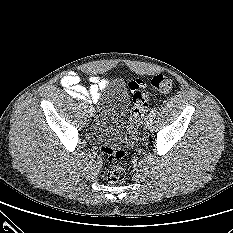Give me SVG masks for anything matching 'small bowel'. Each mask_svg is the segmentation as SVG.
<instances>
[{
    "instance_id": "1",
    "label": "small bowel",
    "mask_w": 233,
    "mask_h": 233,
    "mask_svg": "<svg viewBox=\"0 0 233 233\" xmlns=\"http://www.w3.org/2000/svg\"><path fill=\"white\" fill-rule=\"evenodd\" d=\"M89 86L81 83L80 77L76 72H70L61 79V85L67 93L75 99L97 102L100 99L101 92L108 86L109 79L100 78L97 75L90 76ZM142 81H133L129 85H142Z\"/></svg>"
}]
</instances>
